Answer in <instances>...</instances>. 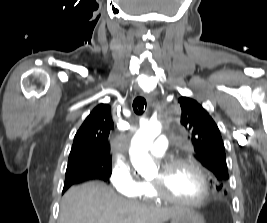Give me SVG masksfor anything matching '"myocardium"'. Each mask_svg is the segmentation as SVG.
<instances>
[{"label": "myocardium", "instance_id": "1", "mask_svg": "<svg viewBox=\"0 0 267 223\" xmlns=\"http://www.w3.org/2000/svg\"><path fill=\"white\" fill-rule=\"evenodd\" d=\"M183 165L192 167L193 169L196 170V172L201 177V180L204 185V192L202 196H200L198 199L183 200V199L176 198L172 196L171 194H169L164 187V177L167 176V174H169L175 168L179 166H183ZM159 171L161 173L160 179L152 180L149 182L156 199H159L161 201H165L168 203L181 205V206L196 207V206L203 204L209 198L210 184H209L207 173L205 169L193 159L176 158V159L167 160L160 166Z\"/></svg>", "mask_w": 267, "mask_h": 223}]
</instances>
